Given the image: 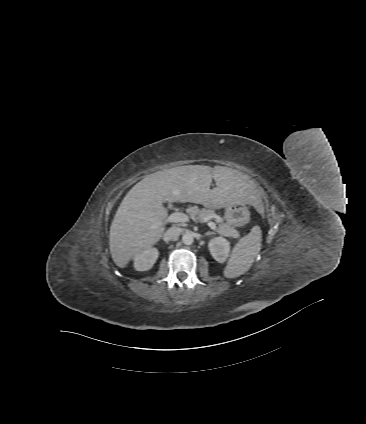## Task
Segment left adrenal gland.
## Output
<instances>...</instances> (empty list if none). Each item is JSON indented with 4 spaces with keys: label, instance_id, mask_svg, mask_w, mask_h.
<instances>
[{
    "label": "left adrenal gland",
    "instance_id": "a2214340",
    "mask_svg": "<svg viewBox=\"0 0 366 424\" xmlns=\"http://www.w3.org/2000/svg\"><path fill=\"white\" fill-rule=\"evenodd\" d=\"M212 234H214V232H207V233L205 234V236H206V237H208V236H210V235H212Z\"/></svg>",
    "mask_w": 366,
    "mask_h": 424
}]
</instances>
